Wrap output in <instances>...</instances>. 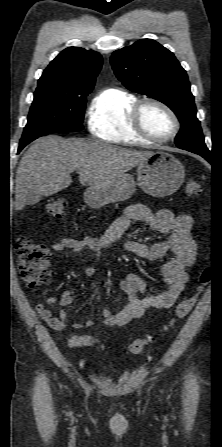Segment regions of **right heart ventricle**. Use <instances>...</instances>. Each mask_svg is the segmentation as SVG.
<instances>
[{"instance_id": "e07e8e85", "label": "right heart ventricle", "mask_w": 222, "mask_h": 447, "mask_svg": "<svg viewBox=\"0 0 222 447\" xmlns=\"http://www.w3.org/2000/svg\"><path fill=\"white\" fill-rule=\"evenodd\" d=\"M138 101L127 91L109 88L93 101L88 118V128L98 140L122 145L144 144L150 141L136 132L130 114Z\"/></svg>"}]
</instances>
